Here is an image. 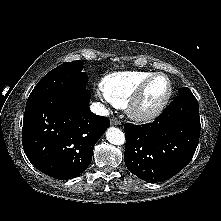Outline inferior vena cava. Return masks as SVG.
<instances>
[{
    "instance_id": "602c4592",
    "label": "inferior vena cava",
    "mask_w": 221,
    "mask_h": 221,
    "mask_svg": "<svg viewBox=\"0 0 221 221\" xmlns=\"http://www.w3.org/2000/svg\"><path fill=\"white\" fill-rule=\"evenodd\" d=\"M91 111L97 115H101V116H108L109 115V111L108 109L101 104L100 102H95L91 104Z\"/></svg>"
}]
</instances>
